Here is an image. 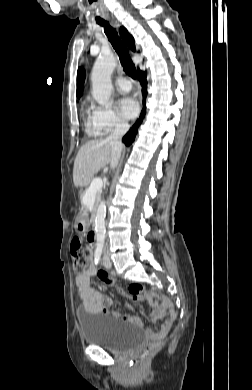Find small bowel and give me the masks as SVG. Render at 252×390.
<instances>
[{
    "instance_id": "obj_1",
    "label": "small bowel",
    "mask_w": 252,
    "mask_h": 390,
    "mask_svg": "<svg viewBox=\"0 0 252 390\" xmlns=\"http://www.w3.org/2000/svg\"><path fill=\"white\" fill-rule=\"evenodd\" d=\"M97 272L96 267L92 264L86 271L79 273L75 278V284L78 289L79 297L83 308L90 313H103L112 315L130 323H140L141 318L138 315H127L117 311L110 310L112 299L103 295L100 291L91 286V277ZM100 278L108 284L114 283L112 277L106 273H101ZM121 294L125 292L119 288ZM134 300L150 299L152 304L156 306L154 314L151 316L153 322L161 319L164 320L158 331L150 330L149 334L152 338L164 335L170 328L175 319V310L172 302L165 296H150L142 291L136 295H130Z\"/></svg>"
}]
</instances>
